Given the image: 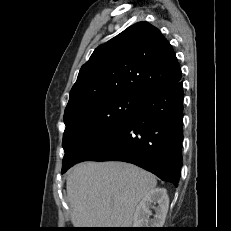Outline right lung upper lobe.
I'll return each mask as SVG.
<instances>
[{"instance_id":"obj_1","label":"right lung upper lobe","mask_w":231,"mask_h":231,"mask_svg":"<svg viewBox=\"0 0 231 231\" xmlns=\"http://www.w3.org/2000/svg\"><path fill=\"white\" fill-rule=\"evenodd\" d=\"M181 77L168 40L148 22H138L95 49L80 69L65 114L121 95L138 97Z\"/></svg>"}]
</instances>
